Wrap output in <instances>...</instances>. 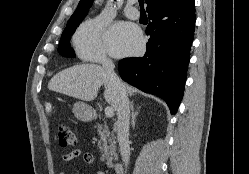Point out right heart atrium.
I'll list each match as a JSON object with an SVG mask.
<instances>
[{
    "instance_id": "right-heart-atrium-1",
    "label": "right heart atrium",
    "mask_w": 249,
    "mask_h": 174,
    "mask_svg": "<svg viewBox=\"0 0 249 174\" xmlns=\"http://www.w3.org/2000/svg\"><path fill=\"white\" fill-rule=\"evenodd\" d=\"M107 22L100 18L83 21L73 36V45L77 56L89 62L102 63L109 60L104 43Z\"/></svg>"
}]
</instances>
